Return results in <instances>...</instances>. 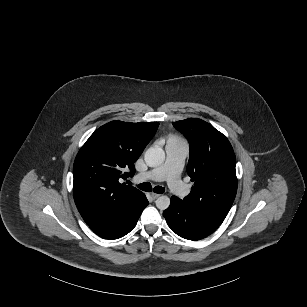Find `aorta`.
I'll list each match as a JSON object with an SVG mask.
<instances>
[{
  "instance_id": "1",
  "label": "aorta",
  "mask_w": 307,
  "mask_h": 307,
  "mask_svg": "<svg viewBox=\"0 0 307 307\" xmlns=\"http://www.w3.org/2000/svg\"><path fill=\"white\" fill-rule=\"evenodd\" d=\"M144 160L149 167H158L165 161V152L160 147H150L144 155ZM170 205L168 196H160L156 200V206L160 210H165Z\"/></svg>"
}]
</instances>
